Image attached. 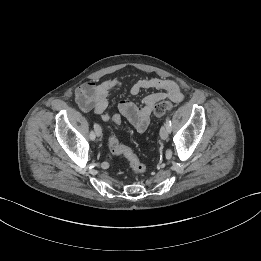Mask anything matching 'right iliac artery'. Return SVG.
Masks as SVG:
<instances>
[{"label":"right iliac artery","instance_id":"82829eb1","mask_svg":"<svg viewBox=\"0 0 261 261\" xmlns=\"http://www.w3.org/2000/svg\"><path fill=\"white\" fill-rule=\"evenodd\" d=\"M97 126H98V124H94V129H96ZM89 136H90V139H91V140H94V139H95V134H94L93 131L90 132V135H89Z\"/></svg>","mask_w":261,"mask_h":261}]
</instances>
